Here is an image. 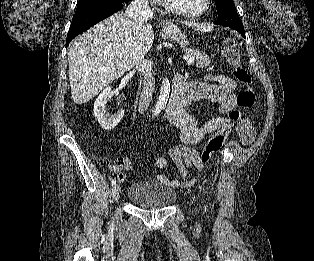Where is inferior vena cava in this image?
<instances>
[{
  "mask_svg": "<svg viewBox=\"0 0 314 261\" xmlns=\"http://www.w3.org/2000/svg\"><path fill=\"white\" fill-rule=\"evenodd\" d=\"M126 15L130 17L137 28L140 29L145 21L152 17V13L147 4V0H134L126 9ZM136 68L143 76V88L141 91L138 111L144 113L152 100L155 88V73L151 63L143 57L138 59Z\"/></svg>",
  "mask_w": 314,
  "mask_h": 261,
  "instance_id": "inferior-vena-cava-1",
  "label": "inferior vena cava"
}]
</instances>
